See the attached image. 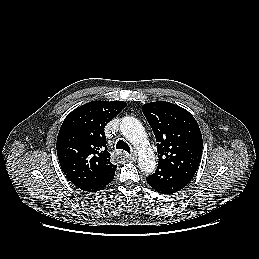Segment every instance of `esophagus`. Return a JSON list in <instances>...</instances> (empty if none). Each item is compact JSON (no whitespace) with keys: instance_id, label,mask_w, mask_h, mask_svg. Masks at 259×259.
Here are the masks:
<instances>
[{"instance_id":"obj_1","label":"esophagus","mask_w":259,"mask_h":259,"mask_svg":"<svg viewBox=\"0 0 259 259\" xmlns=\"http://www.w3.org/2000/svg\"><path fill=\"white\" fill-rule=\"evenodd\" d=\"M126 159L135 161L136 160V154H126L125 155Z\"/></svg>"}]
</instances>
